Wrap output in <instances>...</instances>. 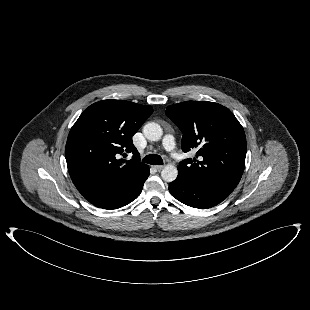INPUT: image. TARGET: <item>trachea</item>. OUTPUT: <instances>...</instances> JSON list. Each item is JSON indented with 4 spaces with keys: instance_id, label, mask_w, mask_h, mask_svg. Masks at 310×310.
I'll list each match as a JSON object with an SVG mask.
<instances>
[{
    "instance_id": "1",
    "label": "trachea",
    "mask_w": 310,
    "mask_h": 310,
    "mask_svg": "<svg viewBox=\"0 0 310 310\" xmlns=\"http://www.w3.org/2000/svg\"><path fill=\"white\" fill-rule=\"evenodd\" d=\"M145 163L152 164V165H162L163 160L162 158L157 154H149L144 157L142 160Z\"/></svg>"
}]
</instances>
